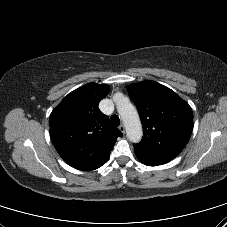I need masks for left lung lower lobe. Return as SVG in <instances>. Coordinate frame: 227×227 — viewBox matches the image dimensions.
<instances>
[{
	"instance_id": "0a47b994",
	"label": "left lung lower lobe",
	"mask_w": 227,
	"mask_h": 227,
	"mask_svg": "<svg viewBox=\"0 0 227 227\" xmlns=\"http://www.w3.org/2000/svg\"><path fill=\"white\" fill-rule=\"evenodd\" d=\"M136 156L139 158V160L148 166H157V165H161V164H165L167 162H169L170 160L168 159H163V158H158V157H146L143 156V154L141 152H139L138 150L134 149Z\"/></svg>"
}]
</instances>
